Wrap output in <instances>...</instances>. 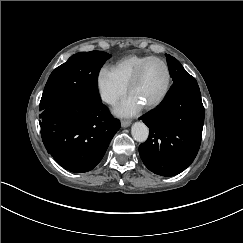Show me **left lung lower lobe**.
<instances>
[{
  "instance_id": "left-lung-lower-lobe-1",
  "label": "left lung lower lobe",
  "mask_w": 243,
  "mask_h": 243,
  "mask_svg": "<svg viewBox=\"0 0 243 243\" xmlns=\"http://www.w3.org/2000/svg\"><path fill=\"white\" fill-rule=\"evenodd\" d=\"M139 119L149 127V138L139 146V153L150 171L174 176L193 162L204 124L199 88L174 90L157 109Z\"/></svg>"
}]
</instances>
